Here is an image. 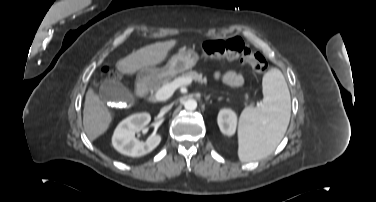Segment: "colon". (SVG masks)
Returning a JSON list of instances; mask_svg holds the SVG:
<instances>
[{"instance_id":"1","label":"colon","mask_w":376,"mask_h":202,"mask_svg":"<svg viewBox=\"0 0 376 202\" xmlns=\"http://www.w3.org/2000/svg\"><path fill=\"white\" fill-rule=\"evenodd\" d=\"M200 51L204 57H224L238 59L249 64L259 74H265L269 70L266 58L258 52L252 51L238 37L228 40H208L200 44ZM103 73L111 78H117L116 71L109 67L103 69Z\"/></svg>"}]
</instances>
